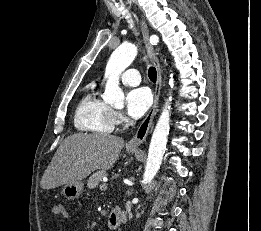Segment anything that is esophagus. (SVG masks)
I'll return each instance as SVG.
<instances>
[{"label":"esophagus","instance_id":"34e87169","mask_svg":"<svg viewBox=\"0 0 261 231\" xmlns=\"http://www.w3.org/2000/svg\"><path fill=\"white\" fill-rule=\"evenodd\" d=\"M140 26H141L145 46L147 49V53H148L153 65L156 67V70H157V83H156V89H155V93H154L153 105L150 108L145 119L139 126L134 137L127 143L126 146L128 148H138L145 141V139L149 133L150 127L152 125L153 119L157 112L161 85H162V69H161L160 63L156 57V53H155L153 44L151 43V41L149 39V30H148L147 24L143 19L140 22ZM153 40L158 41L159 40L158 36L154 35Z\"/></svg>","mask_w":261,"mask_h":231}]
</instances>
